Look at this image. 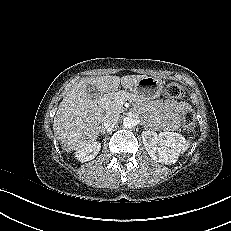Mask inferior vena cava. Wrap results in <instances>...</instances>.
I'll list each match as a JSON object with an SVG mask.
<instances>
[{
    "label": "inferior vena cava",
    "instance_id": "inferior-vena-cava-1",
    "mask_svg": "<svg viewBox=\"0 0 231 231\" xmlns=\"http://www.w3.org/2000/svg\"><path fill=\"white\" fill-rule=\"evenodd\" d=\"M118 121V116L115 114H107L102 121V126L104 128H109Z\"/></svg>",
    "mask_w": 231,
    "mask_h": 231
}]
</instances>
